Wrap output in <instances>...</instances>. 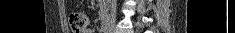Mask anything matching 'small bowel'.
I'll return each mask as SVG.
<instances>
[{"label":"small bowel","mask_w":235,"mask_h":33,"mask_svg":"<svg viewBox=\"0 0 235 33\" xmlns=\"http://www.w3.org/2000/svg\"><path fill=\"white\" fill-rule=\"evenodd\" d=\"M85 33H92V31H91V30H88V31H86Z\"/></svg>","instance_id":"1"}]
</instances>
